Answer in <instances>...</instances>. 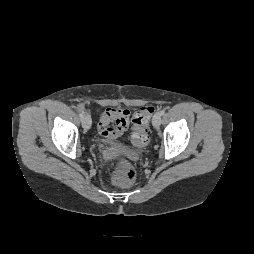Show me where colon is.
Listing matches in <instances>:
<instances>
[{
    "label": "colon",
    "instance_id": "colon-1",
    "mask_svg": "<svg viewBox=\"0 0 254 254\" xmlns=\"http://www.w3.org/2000/svg\"><path fill=\"white\" fill-rule=\"evenodd\" d=\"M155 112L154 107L146 106L137 109L132 117V141L136 146H144L149 141L150 119ZM112 180L122 186L131 185L136 178L135 168L123 161H116L110 170Z\"/></svg>",
    "mask_w": 254,
    "mask_h": 254
}]
</instances>
